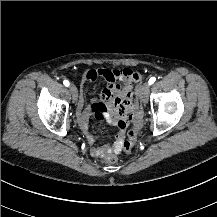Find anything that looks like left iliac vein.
I'll return each mask as SVG.
<instances>
[{
	"instance_id": "left-iliac-vein-1",
	"label": "left iliac vein",
	"mask_w": 217,
	"mask_h": 217,
	"mask_svg": "<svg viewBox=\"0 0 217 217\" xmlns=\"http://www.w3.org/2000/svg\"><path fill=\"white\" fill-rule=\"evenodd\" d=\"M150 86L148 83H144L140 88V100L142 103H148V96H149Z\"/></svg>"
}]
</instances>
